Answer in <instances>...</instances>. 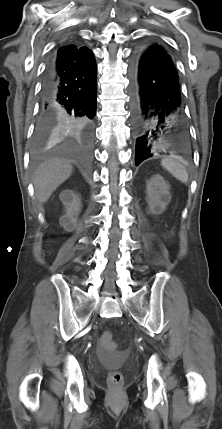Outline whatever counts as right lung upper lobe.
I'll return each instance as SVG.
<instances>
[{
	"label": "right lung upper lobe",
	"mask_w": 222,
	"mask_h": 429,
	"mask_svg": "<svg viewBox=\"0 0 222 429\" xmlns=\"http://www.w3.org/2000/svg\"><path fill=\"white\" fill-rule=\"evenodd\" d=\"M69 47H74V48H76L79 52H82V53H85V54H87L88 53V50L89 49H87L86 47H76L75 45H68ZM72 63V62H71Z\"/></svg>",
	"instance_id": "1"
}]
</instances>
